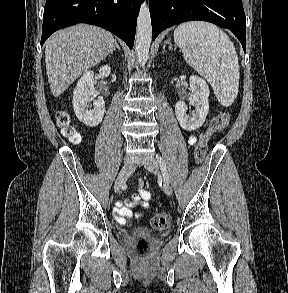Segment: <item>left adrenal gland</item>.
Wrapping results in <instances>:
<instances>
[{
  "label": "left adrenal gland",
  "instance_id": "left-adrenal-gland-1",
  "mask_svg": "<svg viewBox=\"0 0 288 293\" xmlns=\"http://www.w3.org/2000/svg\"><path fill=\"white\" fill-rule=\"evenodd\" d=\"M167 44L169 45V49H170V50H173V45H172V43H171V39H170V38L167 39V40L164 42L163 49H165V47H166Z\"/></svg>",
  "mask_w": 288,
  "mask_h": 293
}]
</instances>
